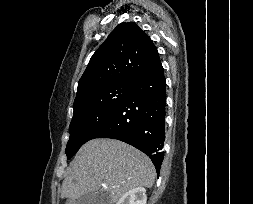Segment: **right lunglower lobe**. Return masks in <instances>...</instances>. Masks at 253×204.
<instances>
[{
  "mask_svg": "<svg viewBox=\"0 0 253 204\" xmlns=\"http://www.w3.org/2000/svg\"><path fill=\"white\" fill-rule=\"evenodd\" d=\"M166 81L159 56L131 85L94 138H113L147 154L160 171L165 140ZM93 138V139H94Z\"/></svg>",
  "mask_w": 253,
  "mask_h": 204,
  "instance_id": "98d812e1",
  "label": "right lung lower lobe"
}]
</instances>
